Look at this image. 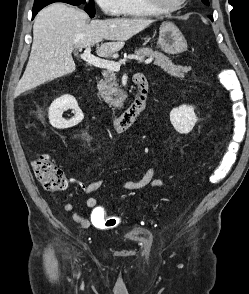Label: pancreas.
<instances>
[{
    "label": "pancreas",
    "mask_w": 249,
    "mask_h": 294,
    "mask_svg": "<svg viewBox=\"0 0 249 294\" xmlns=\"http://www.w3.org/2000/svg\"><path fill=\"white\" fill-rule=\"evenodd\" d=\"M135 54L142 58H153L155 65L160 66L165 72L174 77L183 78L184 74L191 70V67L175 65L169 57L150 48H139L135 51ZM102 75L103 79L97 84L99 95L111 106L115 108L122 107L125 95L119 87L115 71L107 69L102 72Z\"/></svg>",
    "instance_id": "pancreas-1"
}]
</instances>
